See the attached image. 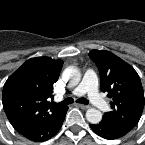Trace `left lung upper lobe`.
Returning a JSON list of instances; mask_svg holds the SVG:
<instances>
[{
    "instance_id": "1",
    "label": "left lung upper lobe",
    "mask_w": 145,
    "mask_h": 145,
    "mask_svg": "<svg viewBox=\"0 0 145 145\" xmlns=\"http://www.w3.org/2000/svg\"><path fill=\"white\" fill-rule=\"evenodd\" d=\"M90 58L100 73V87L112 98L111 111L101 124L128 133L139 122L144 108V92L137 72L128 63L106 50H92Z\"/></svg>"
}]
</instances>
